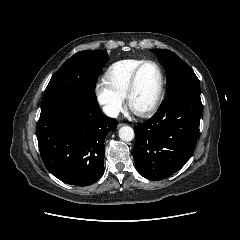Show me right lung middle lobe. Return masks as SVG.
<instances>
[{
  "label": "right lung middle lobe",
  "instance_id": "dd1d6c3e",
  "mask_svg": "<svg viewBox=\"0 0 240 240\" xmlns=\"http://www.w3.org/2000/svg\"><path fill=\"white\" fill-rule=\"evenodd\" d=\"M107 57L105 50L80 51L70 57L52 76L41 107L62 99L96 102L94 87Z\"/></svg>",
  "mask_w": 240,
  "mask_h": 240
}]
</instances>
